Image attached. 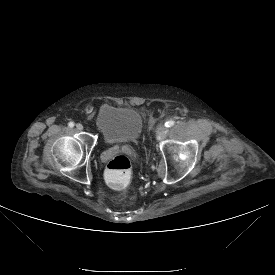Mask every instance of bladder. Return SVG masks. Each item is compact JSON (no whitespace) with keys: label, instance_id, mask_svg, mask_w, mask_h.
Returning <instances> with one entry per match:
<instances>
[{"label":"bladder","instance_id":"obj_1","mask_svg":"<svg viewBox=\"0 0 275 275\" xmlns=\"http://www.w3.org/2000/svg\"><path fill=\"white\" fill-rule=\"evenodd\" d=\"M95 123L103 139L110 144L136 141L144 126L143 116L137 108L111 104L100 107Z\"/></svg>","mask_w":275,"mask_h":275}]
</instances>
